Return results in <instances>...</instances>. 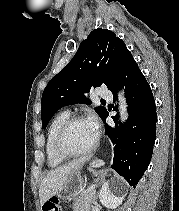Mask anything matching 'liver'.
I'll return each instance as SVG.
<instances>
[{
    "instance_id": "1",
    "label": "liver",
    "mask_w": 179,
    "mask_h": 211,
    "mask_svg": "<svg viewBox=\"0 0 179 211\" xmlns=\"http://www.w3.org/2000/svg\"><path fill=\"white\" fill-rule=\"evenodd\" d=\"M84 162L85 159H79L47 173L39 187L41 206L59 191L69 175L74 170L81 168Z\"/></svg>"
}]
</instances>
